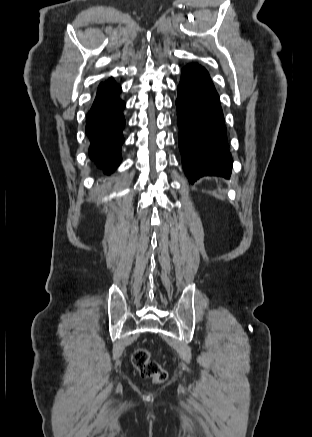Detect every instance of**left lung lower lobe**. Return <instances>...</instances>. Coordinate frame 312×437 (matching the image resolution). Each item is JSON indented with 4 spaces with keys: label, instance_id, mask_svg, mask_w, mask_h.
<instances>
[{
    "label": "left lung lower lobe",
    "instance_id": "1",
    "mask_svg": "<svg viewBox=\"0 0 312 437\" xmlns=\"http://www.w3.org/2000/svg\"><path fill=\"white\" fill-rule=\"evenodd\" d=\"M176 107L179 148L190 182L202 176L230 177L232 159L219 95L203 67L183 68Z\"/></svg>",
    "mask_w": 312,
    "mask_h": 437
}]
</instances>
